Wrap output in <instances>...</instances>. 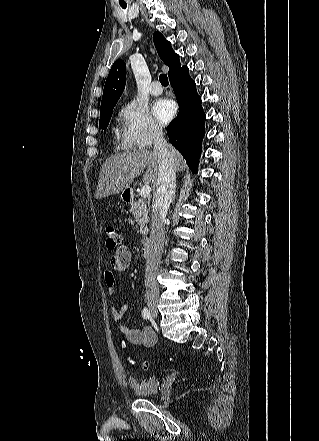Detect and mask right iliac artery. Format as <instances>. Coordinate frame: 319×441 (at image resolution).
I'll return each instance as SVG.
<instances>
[{
  "instance_id": "1",
  "label": "right iliac artery",
  "mask_w": 319,
  "mask_h": 441,
  "mask_svg": "<svg viewBox=\"0 0 319 441\" xmlns=\"http://www.w3.org/2000/svg\"><path fill=\"white\" fill-rule=\"evenodd\" d=\"M142 317L145 320L150 318V312L148 311V309L146 307H144L143 310H142Z\"/></svg>"
}]
</instances>
